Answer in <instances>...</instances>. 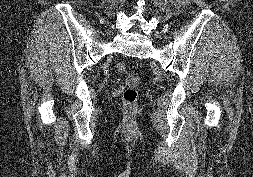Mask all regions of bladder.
Here are the masks:
<instances>
[{
  "mask_svg": "<svg viewBox=\"0 0 253 177\" xmlns=\"http://www.w3.org/2000/svg\"><path fill=\"white\" fill-rule=\"evenodd\" d=\"M128 81H129V83L136 84V83H138L139 79L137 76H130Z\"/></svg>",
  "mask_w": 253,
  "mask_h": 177,
  "instance_id": "31cf9c89",
  "label": "bladder"
}]
</instances>
